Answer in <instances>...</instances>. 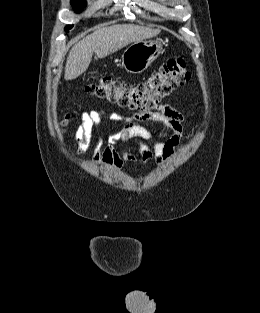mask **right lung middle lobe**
I'll return each mask as SVG.
<instances>
[{
    "label": "right lung middle lobe",
    "instance_id": "dd1d6c3e",
    "mask_svg": "<svg viewBox=\"0 0 260 313\" xmlns=\"http://www.w3.org/2000/svg\"><path fill=\"white\" fill-rule=\"evenodd\" d=\"M71 5L73 6V9L75 12H80L83 10V8L86 6L85 0H71ZM73 26L69 25L65 28V31H69Z\"/></svg>",
    "mask_w": 260,
    "mask_h": 313
}]
</instances>
